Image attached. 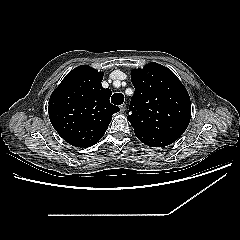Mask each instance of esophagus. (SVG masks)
I'll list each match as a JSON object with an SVG mask.
<instances>
[{
    "instance_id": "34e87169",
    "label": "esophagus",
    "mask_w": 240,
    "mask_h": 240,
    "mask_svg": "<svg viewBox=\"0 0 240 240\" xmlns=\"http://www.w3.org/2000/svg\"><path fill=\"white\" fill-rule=\"evenodd\" d=\"M126 110V105L122 104L120 105V111L123 113Z\"/></svg>"
}]
</instances>
